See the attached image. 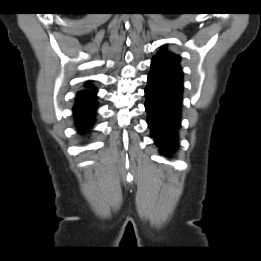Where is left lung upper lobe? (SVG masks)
Segmentation results:
<instances>
[{"instance_id":"1","label":"left lung upper lobe","mask_w":261,"mask_h":261,"mask_svg":"<svg viewBox=\"0 0 261 261\" xmlns=\"http://www.w3.org/2000/svg\"><path fill=\"white\" fill-rule=\"evenodd\" d=\"M152 60H157L166 64L180 67V57L172 52L167 51L165 48L157 52Z\"/></svg>"}]
</instances>
